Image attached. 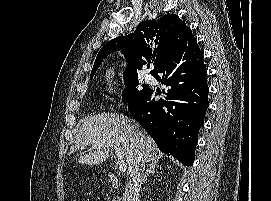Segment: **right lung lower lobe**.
<instances>
[{
    "instance_id": "1",
    "label": "right lung lower lobe",
    "mask_w": 271,
    "mask_h": 201,
    "mask_svg": "<svg viewBox=\"0 0 271 201\" xmlns=\"http://www.w3.org/2000/svg\"><path fill=\"white\" fill-rule=\"evenodd\" d=\"M158 73L163 76L159 77ZM153 76L168 87L163 98L155 100L156 93L149 88L129 100L128 109L163 153L174 156L184 166H191L208 108L209 91L203 53L196 39H185Z\"/></svg>"
}]
</instances>
